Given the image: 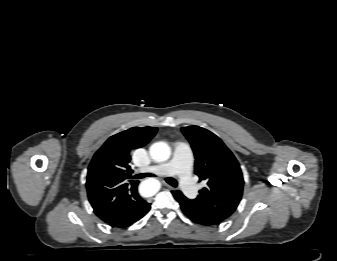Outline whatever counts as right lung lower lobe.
I'll use <instances>...</instances> for the list:
<instances>
[{"mask_svg": "<svg viewBox=\"0 0 337 261\" xmlns=\"http://www.w3.org/2000/svg\"><path fill=\"white\" fill-rule=\"evenodd\" d=\"M137 203V207L131 205L130 208H128L123 215L118 216L107 223L110 226L116 228H125L132 225L133 223L141 219L150 210V203H147L143 199L138 200Z\"/></svg>", "mask_w": 337, "mask_h": 261, "instance_id": "right-lung-lower-lobe-1", "label": "right lung lower lobe"}]
</instances>
